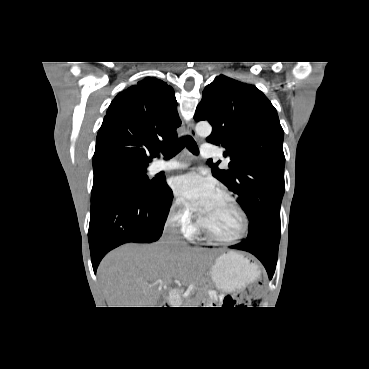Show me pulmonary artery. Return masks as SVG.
Wrapping results in <instances>:
<instances>
[{
    "label": "pulmonary artery",
    "instance_id": "1",
    "mask_svg": "<svg viewBox=\"0 0 369 369\" xmlns=\"http://www.w3.org/2000/svg\"><path fill=\"white\" fill-rule=\"evenodd\" d=\"M216 148L212 144H203L201 146V156L204 158H210L215 156ZM187 165L183 163H179L177 161H169V162H159L157 164V170L166 171V170H175V169H183L186 168Z\"/></svg>",
    "mask_w": 369,
    "mask_h": 369
}]
</instances>
